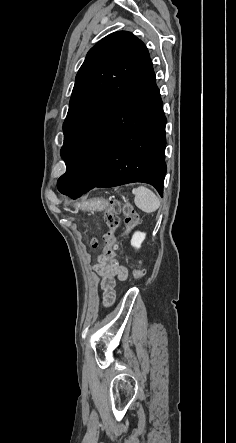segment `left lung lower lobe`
Returning a JSON list of instances; mask_svg holds the SVG:
<instances>
[{
  "label": "left lung lower lobe",
  "mask_w": 236,
  "mask_h": 443,
  "mask_svg": "<svg viewBox=\"0 0 236 443\" xmlns=\"http://www.w3.org/2000/svg\"><path fill=\"white\" fill-rule=\"evenodd\" d=\"M165 125L149 58L80 141L66 163V173L58 179V190L76 198L94 187L145 182L162 196L167 169Z\"/></svg>",
  "instance_id": "left-lung-lower-lobe-1"
}]
</instances>
